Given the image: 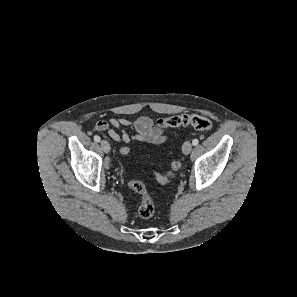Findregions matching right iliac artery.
<instances>
[{"instance_id": "obj_1", "label": "right iliac artery", "mask_w": 297, "mask_h": 297, "mask_svg": "<svg viewBox=\"0 0 297 297\" xmlns=\"http://www.w3.org/2000/svg\"><path fill=\"white\" fill-rule=\"evenodd\" d=\"M94 140H95L96 142H99V141H100V137H99L98 135H95V136H94Z\"/></svg>"}]
</instances>
